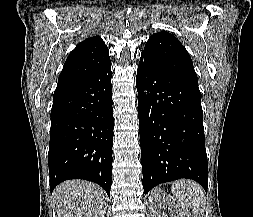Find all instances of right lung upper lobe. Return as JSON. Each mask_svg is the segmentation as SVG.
Here are the masks:
<instances>
[{
  "mask_svg": "<svg viewBox=\"0 0 253 217\" xmlns=\"http://www.w3.org/2000/svg\"><path fill=\"white\" fill-rule=\"evenodd\" d=\"M110 64L109 50L99 36L85 39L68 56L58 85L88 77Z\"/></svg>",
  "mask_w": 253,
  "mask_h": 217,
  "instance_id": "cb5924a9",
  "label": "right lung upper lobe"
}]
</instances>
